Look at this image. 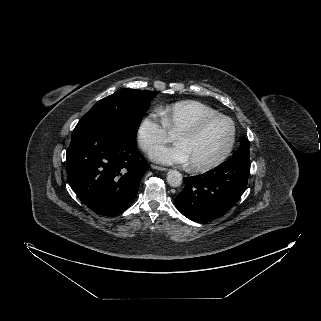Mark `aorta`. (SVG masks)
Here are the masks:
<instances>
[{
	"instance_id": "obj_1",
	"label": "aorta",
	"mask_w": 321,
	"mask_h": 321,
	"mask_svg": "<svg viewBox=\"0 0 321 321\" xmlns=\"http://www.w3.org/2000/svg\"><path fill=\"white\" fill-rule=\"evenodd\" d=\"M182 174L177 170H169L167 173V182L172 187H179L182 184Z\"/></svg>"
}]
</instances>
